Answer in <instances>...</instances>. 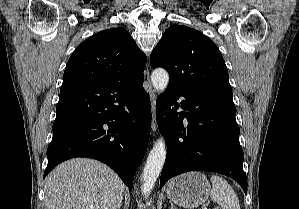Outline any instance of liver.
Segmentation results:
<instances>
[{
  "label": "liver",
  "instance_id": "6515ba94",
  "mask_svg": "<svg viewBox=\"0 0 299 209\" xmlns=\"http://www.w3.org/2000/svg\"><path fill=\"white\" fill-rule=\"evenodd\" d=\"M125 185L105 164L75 158L58 165L45 181V209H118Z\"/></svg>",
  "mask_w": 299,
  "mask_h": 209
}]
</instances>
